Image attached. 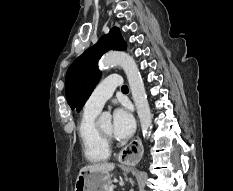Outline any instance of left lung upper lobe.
<instances>
[{"mask_svg":"<svg viewBox=\"0 0 233 191\" xmlns=\"http://www.w3.org/2000/svg\"><path fill=\"white\" fill-rule=\"evenodd\" d=\"M126 42L120 30L113 27L107 35L82 55L69 67L66 74L65 90L67 102L71 109L80 111L99 80L101 73L98 70V60L109 50H125Z\"/></svg>","mask_w":233,"mask_h":191,"instance_id":"obj_1","label":"left lung upper lobe"}]
</instances>
